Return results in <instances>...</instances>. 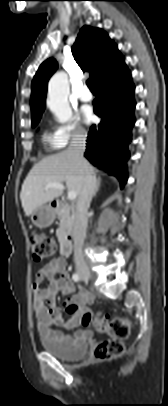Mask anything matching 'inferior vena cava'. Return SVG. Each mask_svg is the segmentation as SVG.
Instances as JSON below:
<instances>
[{
  "mask_svg": "<svg viewBox=\"0 0 168 406\" xmlns=\"http://www.w3.org/2000/svg\"><path fill=\"white\" fill-rule=\"evenodd\" d=\"M86 137L87 135L84 133L73 135L72 141L67 149L81 165L82 189L78 196L73 217L72 233L74 241V260L77 268L86 267L82 247L86 237L88 224L87 212L96 186V177L93 175V170L88 166L83 157L86 146Z\"/></svg>",
  "mask_w": 168,
  "mask_h": 406,
  "instance_id": "inferior-vena-cava-1",
  "label": "inferior vena cava"
}]
</instances>
